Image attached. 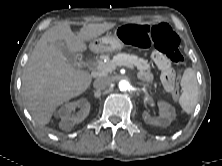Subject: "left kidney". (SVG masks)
<instances>
[{
    "label": "left kidney",
    "instance_id": "obj_1",
    "mask_svg": "<svg viewBox=\"0 0 222 166\" xmlns=\"http://www.w3.org/2000/svg\"><path fill=\"white\" fill-rule=\"evenodd\" d=\"M158 107L160 115L158 118H152L148 112L144 111L142 116L146 123L166 127L169 126L172 120L175 119L176 113L173 106L165 101H159Z\"/></svg>",
    "mask_w": 222,
    "mask_h": 166
}]
</instances>
